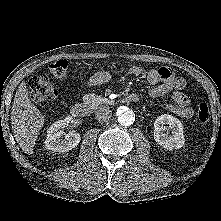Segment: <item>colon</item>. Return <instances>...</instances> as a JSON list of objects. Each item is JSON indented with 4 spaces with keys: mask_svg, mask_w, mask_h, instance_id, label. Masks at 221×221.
Instances as JSON below:
<instances>
[{
    "mask_svg": "<svg viewBox=\"0 0 221 221\" xmlns=\"http://www.w3.org/2000/svg\"><path fill=\"white\" fill-rule=\"evenodd\" d=\"M49 71L59 79L65 78L68 72V61L61 59L48 65ZM30 91L32 99L36 102H47L56 98L57 90L43 75H36L30 80ZM211 118L210 110L202 104L197 110V120L200 124L206 125Z\"/></svg>",
    "mask_w": 221,
    "mask_h": 221,
    "instance_id": "5ec220e1",
    "label": "colon"
}]
</instances>
